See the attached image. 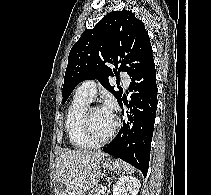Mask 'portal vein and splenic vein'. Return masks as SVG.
<instances>
[{
  "mask_svg": "<svg viewBox=\"0 0 211 195\" xmlns=\"http://www.w3.org/2000/svg\"><path fill=\"white\" fill-rule=\"evenodd\" d=\"M106 191V186H102L101 189H100V194H104Z\"/></svg>",
  "mask_w": 211,
  "mask_h": 195,
  "instance_id": "obj_1",
  "label": "portal vein and splenic vein"
}]
</instances>
